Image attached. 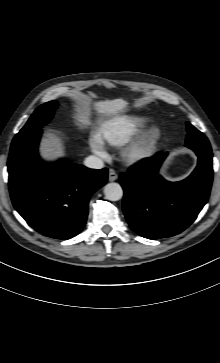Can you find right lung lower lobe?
<instances>
[{
  "label": "right lung lower lobe",
  "mask_w": 220,
  "mask_h": 363,
  "mask_svg": "<svg viewBox=\"0 0 220 363\" xmlns=\"http://www.w3.org/2000/svg\"><path fill=\"white\" fill-rule=\"evenodd\" d=\"M42 130L12 144L9 190L15 209L39 233L69 239L86 223L91 195L107 182L108 170L66 160L47 164L38 157Z\"/></svg>",
  "instance_id": "1"
}]
</instances>
